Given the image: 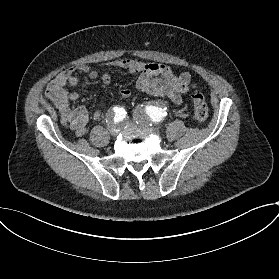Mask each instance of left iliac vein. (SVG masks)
<instances>
[{
    "label": "left iliac vein",
    "mask_w": 279,
    "mask_h": 279,
    "mask_svg": "<svg viewBox=\"0 0 279 279\" xmlns=\"http://www.w3.org/2000/svg\"><path fill=\"white\" fill-rule=\"evenodd\" d=\"M142 129L146 132H150L153 135H158L160 133V130L158 128H154L153 126H149L147 124H144L142 126Z\"/></svg>",
    "instance_id": "left-iliac-vein-1"
}]
</instances>
